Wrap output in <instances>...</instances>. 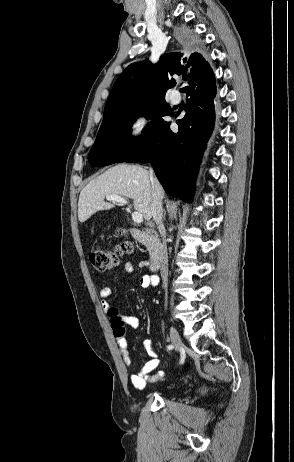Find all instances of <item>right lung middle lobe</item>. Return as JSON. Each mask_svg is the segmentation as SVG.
<instances>
[{
    "mask_svg": "<svg viewBox=\"0 0 294 462\" xmlns=\"http://www.w3.org/2000/svg\"><path fill=\"white\" fill-rule=\"evenodd\" d=\"M181 36L193 46L201 45V41L188 30L182 31ZM169 109L165 99H150L104 118L88 156L90 163L105 166L123 162L158 130L164 122L162 117L169 114ZM141 115L153 120L143 129L140 137H130L132 126Z\"/></svg>",
    "mask_w": 294,
    "mask_h": 462,
    "instance_id": "dd1d6c3e",
    "label": "right lung middle lobe"
}]
</instances>
